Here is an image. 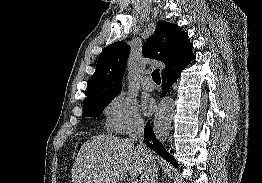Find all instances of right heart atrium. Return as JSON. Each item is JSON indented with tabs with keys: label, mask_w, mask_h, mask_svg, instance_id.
<instances>
[{
	"label": "right heart atrium",
	"mask_w": 262,
	"mask_h": 183,
	"mask_svg": "<svg viewBox=\"0 0 262 183\" xmlns=\"http://www.w3.org/2000/svg\"><path fill=\"white\" fill-rule=\"evenodd\" d=\"M105 129L114 134L127 135L144 127V120L136 102L124 93L115 95L104 108Z\"/></svg>",
	"instance_id": "1"
}]
</instances>
